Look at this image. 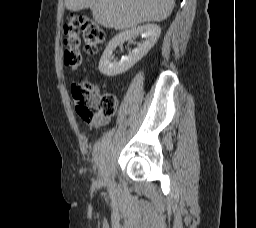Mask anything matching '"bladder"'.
<instances>
[{"label":"bladder","instance_id":"obj_1","mask_svg":"<svg viewBox=\"0 0 256 228\" xmlns=\"http://www.w3.org/2000/svg\"><path fill=\"white\" fill-rule=\"evenodd\" d=\"M112 147V143H110V140L109 141H104L102 139V142H99L96 144L95 146V154L98 155L100 153V151H103L104 152V156H107L109 154V151Z\"/></svg>","mask_w":256,"mask_h":228}]
</instances>
